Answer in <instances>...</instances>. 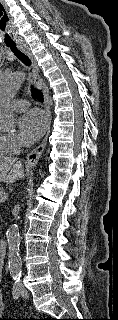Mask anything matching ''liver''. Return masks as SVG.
I'll return each mask as SVG.
<instances>
[{"label": "liver", "mask_w": 118, "mask_h": 320, "mask_svg": "<svg viewBox=\"0 0 118 320\" xmlns=\"http://www.w3.org/2000/svg\"><path fill=\"white\" fill-rule=\"evenodd\" d=\"M24 177L23 165L17 158L0 156V182L14 183Z\"/></svg>", "instance_id": "6515ba94"}]
</instances>
